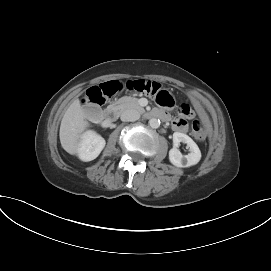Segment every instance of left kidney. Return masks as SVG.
I'll use <instances>...</instances> for the list:
<instances>
[{"label":"left kidney","mask_w":271,"mask_h":271,"mask_svg":"<svg viewBox=\"0 0 271 271\" xmlns=\"http://www.w3.org/2000/svg\"><path fill=\"white\" fill-rule=\"evenodd\" d=\"M180 142L186 143L190 153L182 155L178 147ZM201 159V151L197 144L186 134L175 132L173 134V148L169 151L170 162L180 168L196 165Z\"/></svg>","instance_id":"1"}]
</instances>
